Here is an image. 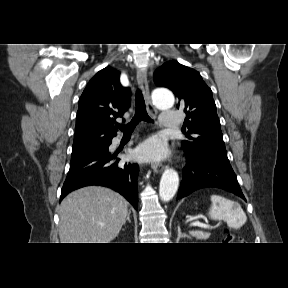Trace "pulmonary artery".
<instances>
[{
	"mask_svg": "<svg viewBox=\"0 0 288 288\" xmlns=\"http://www.w3.org/2000/svg\"><path fill=\"white\" fill-rule=\"evenodd\" d=\"M181 118L179 112L164 110L161 113L160 125L164 128H178L181 123Z\"/></svg>",
	"mask_w": 288,
	"mask_h": 288,
	"instance_id": "obj_1",
	"label": "pulmonary artery"
}]
</instances>
